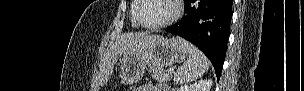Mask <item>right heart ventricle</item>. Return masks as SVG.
I'll return each mask as SVG.
<instances>
[{"label": "right heart ventricle", "instance_id": "e07e8e85", "mask_svg": "<svg viewBox=\"0 0 304 91\" xmlns=\"http://www.w3.org/2000/svg\"><path fill=\"white\" fill-rule=\"evenodd\" d=\"M136 1H133V5H132V8H131V24L133 27H138V23L136 22L135 20V8H136Z\"/></svg>", "mask_w": 304, "mask_h": 91}]
</instances>
